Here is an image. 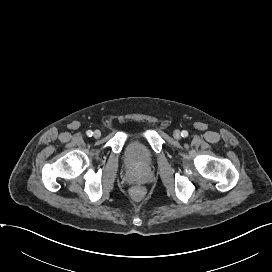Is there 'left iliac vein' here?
Masks as SVG:
<instances>
[{"mask_svg": "<svg viewBox=\"0 0 272 272\" xmlns=\"http://www.w3.org/2000/svg\"><path fill=\"white\" fill-rule=\"evenodd\" d=\"M173 136L175 139H180L181 138V133L179 130H175L173 133Z\"/></svg>", "mask_w": 272, "mask_h": 272, "instance_id": "obj_1", "label": "left iliac vein"}]
</instances>
